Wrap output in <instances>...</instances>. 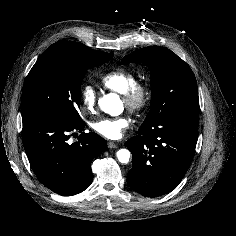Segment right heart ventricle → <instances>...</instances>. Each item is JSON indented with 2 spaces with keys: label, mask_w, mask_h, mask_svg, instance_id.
Segmentation results:
<instances>
[{
  "label": "right heart ventricle",
  "mask_w": 236,
  "mask_h": 236,
  "mask_svg": "<svg viewBox=\"0 0 236 236\" xmlns=\"http://www.w3.org/2000/svg\"><path fill=\"white\" fill-rule=\"evenodd\" d=\"M136 82L137 77L135 73L124 69L111 70L101 77V83L105 88L119 94H124Z\"/></svg>",
  "instance_id": "1"
}]
</instances>
